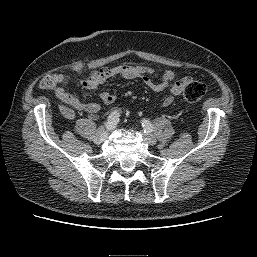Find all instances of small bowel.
<instances>
[{"label":"small bowel","mask_w":257,"mask_h":257,"mask_svg":"<svg viewBox=\"0 0 257 257\" xmlns=\"http://www.w3.org/2000/svg\"><path fill=\"white\" fill-rule=\"evenodd\" d=\"M161 75L160 83H155L153 78ZM114 77H122L125 79H139L150 87L156 93H161L166 89H170L172 95L167 96L163 104L169 106L174 101V95L182 93L185 84L191 80L190 77L184 76L175 80V74L170 70L161 71L148 65H119L113 68H107L106 72L101 75L95 76L89 80L82 82V86L86 89H96L107 80ZM53 78L58 86L55 88L54 93L57 99L61 102V112L68 118L73 119L75 116L74 110L85 112L88 115H95L100 110V104L95 101L85 102L79 97L69 93L65 87L69 85V80L62 74H55ZM101 101L110 105L115 102L116 95L109 91H103L100 94Z\"/></svg>","instance_id":"obj_1"}]
</instances>
